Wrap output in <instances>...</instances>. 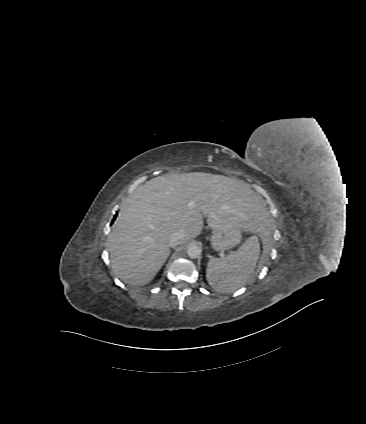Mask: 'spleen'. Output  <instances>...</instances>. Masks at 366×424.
<instances>
[{
	"label": "spleen",
	"mask_w": 366,
	"mask_h": 424,
	"mask_svg": "<svg viewBox=\"0 0 366 424\" xmlns=\"http://www.w3.org/2000/svg\"><path fill=\"white\" fill-rule=\"evenodd\" d=\"M259 254L258 237L252 236L227 257L212 258L206 270L208 283L220 292L236 291L253 277Z\"/></svg>",
	"instance_id": "1"
}]
</instances>
